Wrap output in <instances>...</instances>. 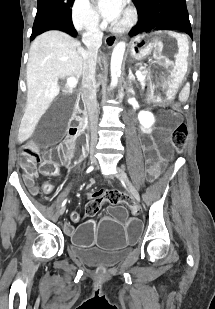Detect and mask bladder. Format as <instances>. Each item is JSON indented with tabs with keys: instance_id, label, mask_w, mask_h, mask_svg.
Segmentation results:
<instances>
[{
	"instance_id": "bladder-1",
	"label": "bladder",
	"mask_w": 215,
	"mask_h": 309,
	"mask_svg": "<svg viewBox=\"0 0 215 309\" xmlns=\"http://www.w3.org/2000/svg\"><path fill=\"white\" fill-rule=\"evenodd\" d=\"M77 258L85 265L91 267H112L122 262L126 256L127 251L122 250L113 253L105 252H75Z\"/></svg>"
}]
</instances>
